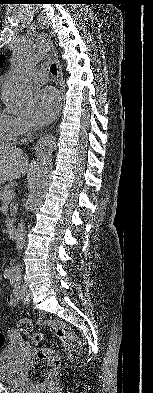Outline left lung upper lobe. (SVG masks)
<instances>
[{"label": "left lung upper lobe", "mask_w": 153, "mask_h": 393, "mask_svg": "<svg viewBox=\"0 0 153 393\" xmlns=\"http://www.w3.org/2000/svg\"><path fill=\"white\" fill-rule=\"evenodd\" d=\"M3 61H4V57L0 56V67L2 66Z\"/></svg>", "instance_id": "5c2ea615"}]
</instances>
